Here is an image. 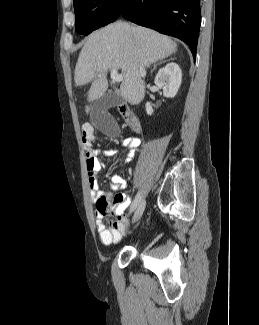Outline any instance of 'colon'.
I'll list each match as a JSON object with an SVG mask.
<instances>
[{
	"label": "colon",
	"mask_w": 259,
	"mask_h": 325,
	"mask_svg": "<svg viewBox=\"0 0 259 325\" xmlns=\"http://www.w3.org/2000/svg\"><path fill=\"white\" fill-rule=\"evenodd\" d=\"M93 138H94L93 126L91 124L83 125L81 130V141L86 150L92 147Z\"/></svg>",
	"instance_id": "obj_1"
}]
</instances>
